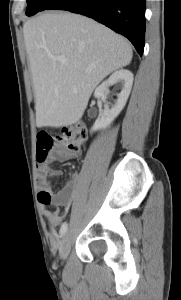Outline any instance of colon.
I'll list each match as a JSON object with an SVG mask.
<instances>
[{
    "mask_svg": "<svg viewBox=\"0 0 181 300\" xmlns=\"http://www.w3.org/2000/svg\"><path fill=\"white\" fill-rule=\"evenodd\" d=\"M86 139L87 129L80 123L65 127L62 134L56 138L47 133H39L37 135V161L44 162L54 145L57 146V153L62 157L77 154L84 146Z\"/></svg>",
    "mask_w": 181,
    "mask_h": 300,
    "instance_id": "1",
    "label": "colon"
}]
</instances>
